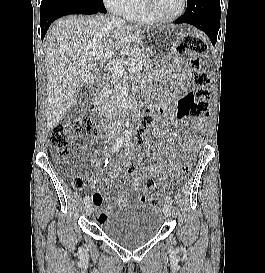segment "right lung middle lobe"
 <instances>
[{
	"instance_id": "1",
	"label": "right lung middle lobe",
	"mask_w": 265,
	"mask_h": 273,
	"mask_svg": "<svg viewBox=\"0 0 265 273\" xmlns=\"http://www.w3.org/2000/svg\"><path fill=\"white\" fill-rule=\"evenodd\" d=\"M47 2H63L82 7H94L99 9L101 12H106L103 0H42L41 4Z\"/></svg>"
}]
</instances>
